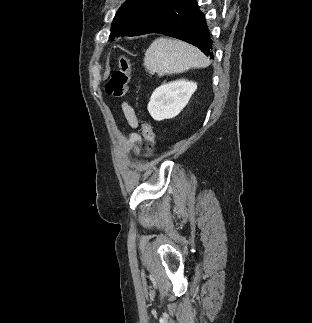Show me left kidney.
Returning <instances> with one entry per match:
<instances>
[{
    "mask_svg": "<svg viewBox=\"0 0 312 323\" xmlns=\"http://www.w3.org/2000/svg\"><path fill=\"white\" fill-rule=\"evenodd\" d=\"M197 90L195 82L177 80L156 88L148 104V112L153 120H170L187 106L192 94Z\"/></svg>",
    "mask_w": 312,
    "mask_h": 323,
    "instance_id": "left-kidney-1",
    "label": "left kidney"
}]
</instances>
